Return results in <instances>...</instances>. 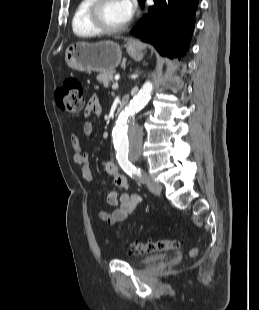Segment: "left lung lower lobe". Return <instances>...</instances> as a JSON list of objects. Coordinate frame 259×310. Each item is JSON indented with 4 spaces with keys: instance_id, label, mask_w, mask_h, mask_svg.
<instances>
[{
    "instance_id": "left-lung-lower-lobe-1",
    "label": "left lung lower lobe",
    "mask_w": 259,
    "mask_h": 310,
    "mask_svg": "<svg viewBox=\"0 0 259 310\" xmlns=\"http://www.w3.org/2000/svg\"><path fill=\"white\" fill-rule=\"evenodd\" d=\"M144 5V0L140 1ZM199 0H154L131 34L163 56L181 57L189 48Z\"/></svg>"
}]
</instances>
